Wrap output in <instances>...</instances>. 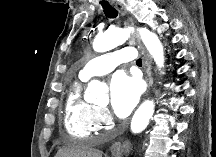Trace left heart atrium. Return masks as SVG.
Listing matches in <instances>:
<instances>
[{"mask_svg":"<svg viewBox=\"0 0 216 157\" xmlns=\"http://www.w3.org/2000/svg\"><path fill=\"white\" fill-rule=\"evenodd\" d=\"M141 93L139 81L126 73H116L110 81V102L119 117H126L137 105Z\"/></svg>","mask_w":216,"mask_h":157,"instance_id":"39dd6f15","label":"left heart atrium"}]
</instances>
